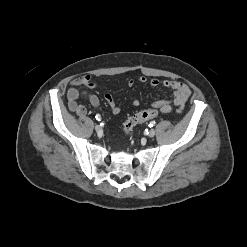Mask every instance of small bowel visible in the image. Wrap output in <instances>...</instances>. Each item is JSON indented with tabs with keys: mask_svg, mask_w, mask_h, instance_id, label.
Listing matches in <instances>:
<instances>
[{
	"mask_svg": "<svg viewBox=\"0 0 247 247\" xmlns=\"http://www.w3.org/2000/svg\"><path fill=\"white\" fill-rule=\"evenodd\" d=\"M147 81L148 80L145 76H141L137 79L138 83H146ZM135 82V80L130 79L128 80L127 84L129 87H132ZM160 83L161 82L157 78H151L149 80V84L152 87H157L160 85ZM162 85L172 90L173 98L171 100H157L152 104V106L163 113H169L172 111L180 112L184 108L185 103L190 96L191 92L189 87L183 82L169 79L162 81ZM81 86L89 89H94L97 84L89 75L77 77L70 82V86L67 91L68 107L78 116H85L87 110L83 105L78 103V99L81 96H86L93 107H98L100 104V100L98 96L93 93L81 92L79 90V87ZM105 99L113 114H119L121 112V107L115 103L113 97L110 94H106ZM132 103L136 107L140 104L139 100L136 98L133 100Z\"/></svg>",
	"mask_w": 247,
	"mask_h": 247,
	"instance_id": "obj_1",
	"label": "small bowel"
}]
</instances>
